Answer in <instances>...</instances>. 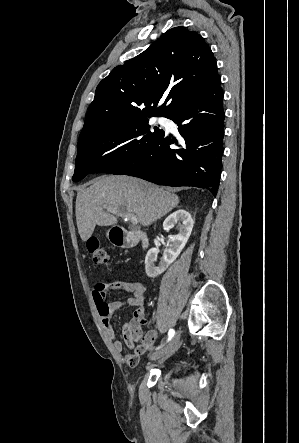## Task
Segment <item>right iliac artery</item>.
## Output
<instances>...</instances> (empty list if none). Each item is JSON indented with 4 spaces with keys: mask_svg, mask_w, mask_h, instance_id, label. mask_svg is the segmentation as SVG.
<instances>
[{
    "mask_svg": "<svg viewBox=\"0 0 299 443\" xmlns=\"http://www.w3.org/2000/svg\"><path fill=\"white\" fill-rule=\"evenodd\" d=\"M174 335H175L174 329H170L168 332V341H170ZM158 348H160V347H158Z\"/></svg>",
    "mask_w": 299,
    "mask_h": 443,
    "instance_id": "right-iliac-artery-1",
    "label": "right iliac artery"
}]
</instances>
